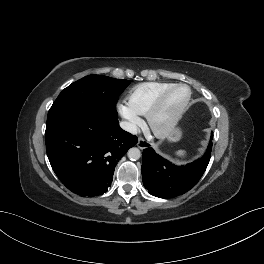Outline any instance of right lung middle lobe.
I'll use <instances>...</instances> for the list:
<instances>
[{
	"instance_id": "dd1d6c3e",
	"label": "right lung middle lobe",
	"mask_w": 264,
	"mask_h": 264,
	"mask_svg": "<svg viewBox=\"0 0 264 264\" xmlns=\"http://www.w3.org/2000/svg\"><path fill=\"white\" fill-rule=\"evenodd\" d=\"M129 83V80L102 75H89L72 83L59 94L53 103L48 112L46 125L81 104H100L115 108L119 95Z\"/></svg>"
}]
</instances>
